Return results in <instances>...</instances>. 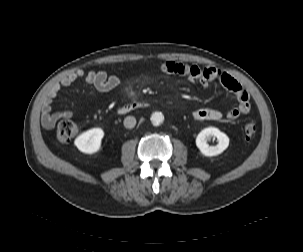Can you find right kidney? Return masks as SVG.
Wrapping results in <instances>:
<instances>
[{"label":"right kidney","instance_id":"1","mask_svg":"<svg viewBox=\"0 0 303 252\" xmlns=\"http://www.w3.org/2000/svg\"><path fill=\"white\" fill-rule=\"evenodd\" d=\"M103 137L104 131L101 128H93L79 135L74 144L81 152L94 154L100 150Z\"/></svg>","mask_w":303,"mask_h":252}]
</instances>
